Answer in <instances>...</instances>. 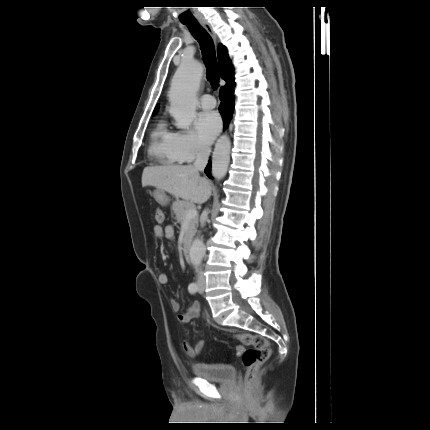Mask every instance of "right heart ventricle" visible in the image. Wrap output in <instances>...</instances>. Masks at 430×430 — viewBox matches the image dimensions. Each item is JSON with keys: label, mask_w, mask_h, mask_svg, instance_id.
<instances>
[{"label": "right heart ventricle", "mask_w": 430, "mask_h": 430, "mask_svg": "<svg viewBox=\"0 0 430 430\" xmlns=\"http://www.w3.org/2000/svg\"><path fill=\"white\" fill-rule=\"evenodd\" d=\"M174 133L171 132L164 121H160L150 135L149 154L159 163L175 165L180 160L174 148Z\"/></svg>", "instance_id": "obj_1"}]
</instances>
